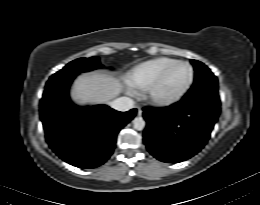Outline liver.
<instances>
[{"label": "liver", "instance_id": "liver-1", "mask_svg": "<svg viewBox=\"0 0 260 205\" xmlns=\"http://www.w3.org/2000/svg\"><path fill=\"white\" fill-rule=\"evenodd\" d=\"M122 89L118 78L107 73L93 72L81 75L73 82L70 97L78 105L110 104Z\"/></svg>", "mask_w": 260, "mask_h": 205}]
</instances>
